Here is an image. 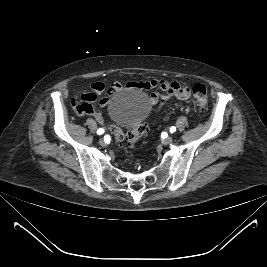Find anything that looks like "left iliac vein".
Returning <instances> with one entry per match:
<instances>
[{
  "label": "left iliac vein",
  "instance_id": "4c4485c4",
  "mask_svg": "<svg viewBox=\"0 0 267 267\" xmlns=\"http://www.w3.org/2000/svg\"><path fill=\"white\" fill-rule=\"evenodd\" d=\"M172 142H173V138L169 136L163 141V144L168 145V144H171Z\"/></svg>",
  "mask_w": 267,
  "mask_h": 267
}]
</instances>
